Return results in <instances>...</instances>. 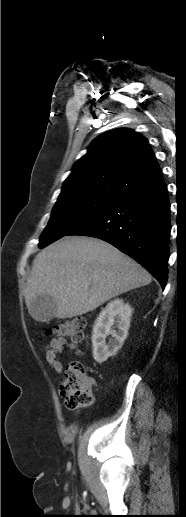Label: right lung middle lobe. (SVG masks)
Returning <instances> with one entry per match:
<instances>
[{
    "instance_id": "right-lung-middle-lobe-1",
    "label": "right lung middle lobe",
    "mask_w": 186,
    "mask_h": 517,
    "mask_svg": "<svg viewBox=\"0 0 186 517\" xmlns=\"http://www.w3.org/2000/svg\"><path fill=\"white\" fill-rule=\"evenodd\" d=\"M119 198L100 195H73L58 198L39 248L68 235L81 224L113 205Z\"/></svg>"
}]
</instances>
